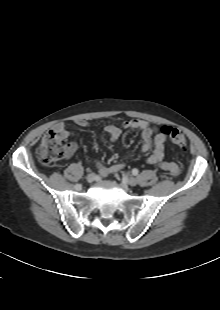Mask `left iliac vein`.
I'll use <instances>...</instances> for the list:
<instances>
[{
	"instance_id": "obj_1",
	"label": "left iliac vein",
	"mask_w": 220,
	"mask_h": 310,
	"mask_svg": "<svg viewBox=\"0 0 220 310\" xmlns=\"http://www.w3.org/2000/svg\"><path fill=\"white\" fill-rule=\"evenodd\" d=\"M127 182H128V184L131 185V186H136L137 183H138V181H137V179H136L135 177H129V178L127 179Z\"/></svg>"
}]
</instances>
